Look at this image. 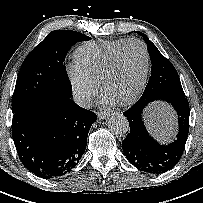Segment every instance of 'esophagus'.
<instances>
[{
  "label": "esophagus",
  "mask_w": 203,
  "mask_h": 203,
  "mask_svg": "<svg viewBox=\"0 0 203 203\" xmlns=\"http://www.w3.org/2000/svg\"><path fill=\"white\" fill-rule=\"evenodd\" d=\"M97 116L99 119H106L109 116V113L107 112H98Z\"/></svg>",
  "instance_id": "1"
}]
</instances>
